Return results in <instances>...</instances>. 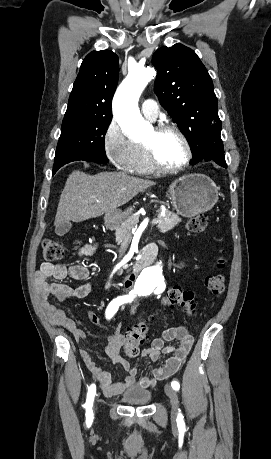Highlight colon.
<instances>
[{"instance_id": "colon-1", "label": "colon", "mask_w": 271, "mask_h": 459, "mask_svg": "<svg viewBox=\"0 0 271 459\" xmlns=\"http://www.w3.org/2000/svg\"><path fill=\"white\" fill-rule=\"evenodd\" d=\"M208 216L199 214L190 219L187 227L188 230L195 233L204 232L208 226ZM65 255V247L56 239H45L42 243V257L45 261L53 262L63 258ZM226 261L220 258L218 266L223 268ZM207 290L214 296H219L225 288V278L223 275H210L205 279ZM163 304L173 307L181 306L189 315H193L196 311L194 296L190 291H183L179 288H173L167 292L163 298ZM148 328L145 323H139L128 329L124 335L125 352L128 356L134 357L139 353L140 346L147 338Z\"/></svg>"}]
</instances>
